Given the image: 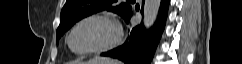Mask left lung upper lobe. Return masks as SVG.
<instances>
[{"label": "left lung upper lobe", "mask_w": 242, "mask_h": 64, "mask_svg": "<svg viewBox=\"0 0 242 64\" xmlns=\"http://www.w3.org/2000/svg\"><path fill=\"white\" fill-rule=\"evenodd\" d=\"M119 0H67L61 10L60 25L56 31L58 40L67 30H69L77 21L93 13L108 10L119 14L124 19L132 11L128 3L118 4Z\"/></svg>", "instance_id": "1"}]
</instances>
